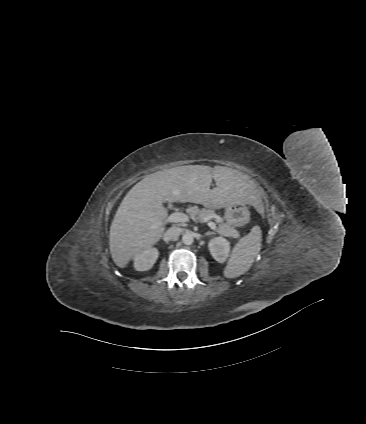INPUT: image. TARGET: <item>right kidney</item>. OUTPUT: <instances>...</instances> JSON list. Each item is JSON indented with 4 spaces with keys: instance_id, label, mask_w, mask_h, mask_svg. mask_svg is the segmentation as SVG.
Listing matches in <instances>:
<instances>
[{
    "instance_id": "right-kidney-1",
    "label": "right kidney",
    "mask_w": 366,
    "mask_h": 424,
    "mask_svg": "<svg viewBox=\"0 0 366 424\" xmlns=\"http://www.w3.org/2000/svg\"><path fill=\"white\" fill-rule=\"evenodd\" d=\"M159 256L157 248H148L134 257V268L137 271H146L152 268Z\"/></svg>"
}]
</instances>
